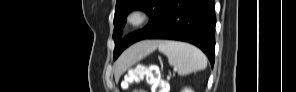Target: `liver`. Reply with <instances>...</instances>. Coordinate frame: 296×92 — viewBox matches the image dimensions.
<instances>
[{
	"mask_svg": "<svg viewBox=\"0 0 296 92\" xmlns=\"http://www.w3.org/2000/svg\"><path fill=\"white\" fill-rule=\"evenodd\" d=\"M158 44V41H142L128 48L114 64L115 78L119 79L129 67L153 52Z\"/></svg>",
	"mask_w": 296,
	"mask_h": 92,
	"instance_id": "1",
	"label": "liver"
}]
</instances>
